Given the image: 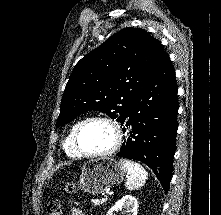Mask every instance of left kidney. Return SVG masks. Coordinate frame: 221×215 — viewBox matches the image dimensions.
Returning a JSON list of instances; mask_svg holds the SVG:
<instances>
[{
	"label": "left kidney",
	"mask_w": 221,
	"mask_h": 215,
	"mask_svg": "<svg viewBox=\"0 0 221 215\" xmlns=\"http://www.w3.org/2000/svg\"><path fill=\"white\" fill-rule=\"evenodd\" d=\"M138 202L134 196L125 195L110 208L106 215H115L114 213L121 209H126L128 215H137Z\"/></svg>",
	"instance_id": "1"
}]
</instances>
